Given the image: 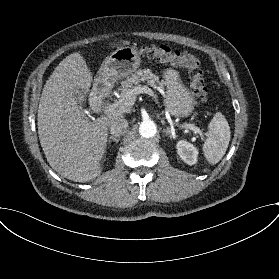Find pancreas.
Listing matches in <instances>:
<instances>
[{
  "label": "pancreas",
  "instance_id": "1",
  "mask_svg": "<svg viewBox=\"0 0 279 279\" xmlns=\"http://www.w3.org/2000/svg\"><path fill=\"white\" fill-rule=\"evenodd\" d=\"M146 81L148 85H155L156 83L163 87V83L159 81V77L152 73L150 69H139L133 73L126 80L121 82V87L119 88L120 96L122 101L119 102L118 108L124 107L126 111L131 109V106L135 102L136 95L131 96V100L126 99V96L134 88V85H138L140 82ZM127 103V104H126Z\"/></svg>",
  "mask_w": 279,
  "mask_h": 279
}]
</instances>
